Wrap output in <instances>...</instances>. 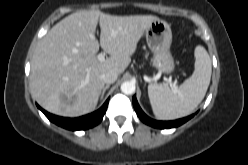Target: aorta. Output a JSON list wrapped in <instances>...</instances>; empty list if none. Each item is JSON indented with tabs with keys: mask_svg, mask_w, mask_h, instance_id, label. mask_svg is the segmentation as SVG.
Instances as JSON below:
<instances>
[{
	"mask_svg": "<svg viewBox=\"0 0 248 165\" xmlns=\"http://www.w3.org/2000/svg\"><path fill=\"white\" fill-rule=\"evenodd\" d=\"M121 91L126 95H131L135 92L136 86L133 82L125 81L121 84Z\"/></svg>",
	"mask_w": 248,
	"mask_h": 165,
	"instance_id": "762f6f07",
	"label": "aorta"
}]
</instances>
